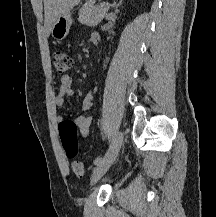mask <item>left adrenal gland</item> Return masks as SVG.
Wrapping results in <instances>:
<instances>
[{"instance_id":"a2214340","label":"left adrenal gland","mask_w":216,"mask_h":217,"mask_svg":"<svg viewBox=\"0 0 216 217\" xmlns=\"http://www.w3.org/2000/svg\"><path fill=\"white\" fill-rule=\"evenodd\" d=\"M123 0H120L117 4H114V8L116 11H118V8L120 7V5L122 4Z\"/></svg>"}]
</instances>
